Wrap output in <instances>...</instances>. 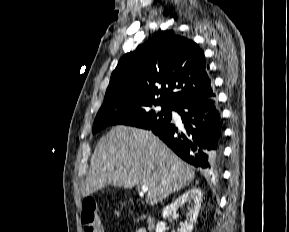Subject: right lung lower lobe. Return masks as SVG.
I'll list each match as a JSON object with an SVG mask.
<instances>
[{
	"mask_svg": "<svg viewBox=\"0 0 289 232\" xmlns=\"http://www.w3.org/2000/svg\"><path fill=\"white\" fill-rule=\"evenodd\" d=\"M174 110L181 116L184 130L170 122L150 130L191 165L218 168L222 162L223 136L215 96L186 101Z\"/></svg>",
	"mask_w": 289,
	"mask_h": 232,
	"instance_id": "right-lung-lower-lobe-1",
	"label": "right lung lower lobe"
}]
</instances>
